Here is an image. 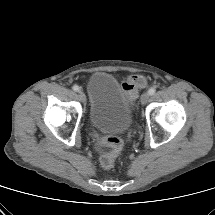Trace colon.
Returning a JSON list of instances; mask_svg holds the SVG:
<instances>
[{"instance_id": "colon-1", "label": "colon", "mask_w": 215, "mask_h": 215, "mask_svg": "<svg viewBox=\"0 0 215 215\" xmlns=\"http://www.w3.org/2000/svg\"><path fill=\"white\" fill-rule=\"evenodd\" d=\"M144 86L145 79L140 75H133L122 84V89L132 103L137 98L139 90ZM100 144L108 148V151L101 155L100 164L104 169H111L123 148V141L117 136H108L102 138Z\"/></svg>"}]
</instances>
